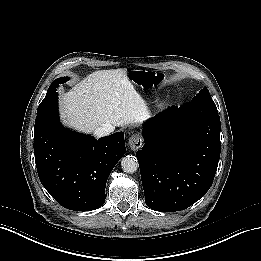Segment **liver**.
<instances>
[{
    "instance_id": "1",
    "label": "liver",
    "mask_w": 261,
    "mask_h": 261,
    "mask_svg": "<svg viewBox=\"0 0 261 261\" xmlns=\"http://www.w3.org/2000/svg\"><path fill=\"white\" fill-rule=\"evenodd\" d=\"M124 70H101L89 74L60 96L65 125L84 133L111 124L139 126L146 116L143 100L125 91L120 79Z\"/></svg>"
}]
</instances>
